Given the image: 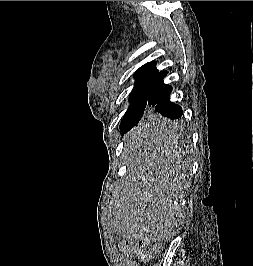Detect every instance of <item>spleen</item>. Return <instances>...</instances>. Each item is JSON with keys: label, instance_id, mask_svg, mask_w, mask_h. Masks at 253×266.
<instances>
[{"label": "spleen", "instance_id": "spleen-1", "mask_svg": "<svg viewBox=\"0 0 253 266\" xmlns=\"http://www.w3.org/2000/svg\"><path fill=\"white\" fill-rule=\"evenodd\" d=\"M154 120H170V115H154ZM181 123H147L139 135H120L119 155L126 156V185L122 207H112V216H122L123 242H145L146 248H161L170 235H181L180 202L186 184L188 141H178ZM159 132V133H158Z\"/></svg>", "mask_w": 253, "mask_h": 266}]
</instances>
